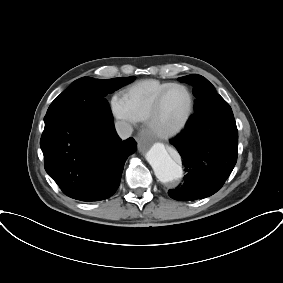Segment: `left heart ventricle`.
Here are the masks:
<instances>
[{
	"label": "left heart ventricle",
	"mask_w": 283,
	"mask_h": 283,
	"mask_svg": "<svg viewBox=\"0 0 283 283\" xmlns=\"http://www.w3.org/2000/svg\"><path fill=\"white\" fill-rule=\"evenodd\" d=\"M189 102V95L184 89L174 88L170 90L162 101L156 126L162 130L176 127L184 119L189 108Z\"/></svg>",
	"instance_id": "1"
}]
</instances>
